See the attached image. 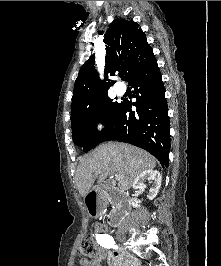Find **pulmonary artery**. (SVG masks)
I'll list each match as a JSON object with an SVG mask.
<instances>
[{
	"label": "pulmonary artery",
	"mask_w": 221,
	"mask_h": 266,
	"mask_svg": "<svg viewBox=\"0 0 221 266\" xmlns=\"http://www.w3.org/2000/svg\"><path fill=\"white\" fill-rule=\"evenodd\" d=\"M115 92L118 94V95H122L124 92H125V89L124 88H119V87H115Z\"/></svg>",
	"instance_id": "pulmonary-artery-1"
}]
</instances>
